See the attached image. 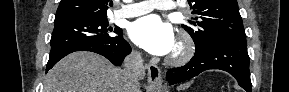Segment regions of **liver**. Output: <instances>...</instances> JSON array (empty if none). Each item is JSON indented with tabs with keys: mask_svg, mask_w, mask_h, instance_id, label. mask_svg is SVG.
Returning a JSON list of instances; mask_svg holds the SVG:
<instances>
[{
	"mask_svg": "<svg viewBox=\"0 0 289 92\" xmlns=\"http://www.w3.org/2000/svg\"><path fill=\"white\" fill-rule=\"evenodd\" d=\"M44 92H140V84L127 87L123 69L98 54L78 51L48 71Z\"/></svg>",
	"mask_w": 289,
	"mask_h": 92,
	"instance_id": "1",
	"label": "liver"
}]
</instances>
